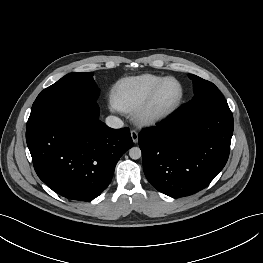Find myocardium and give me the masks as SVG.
I'll list each match as a JSON object with an SVG mask.
<instances>
[{
  "mask_svg": "<svg viewBox=\"0 0 263 263\" xmlns=\"http://www.w3.org/2000/svg\"><path fill=\"white\" fill-rule=\"evenodd\" d=\"M170 80H173L179 84L181 90L180 96L173 105L166 108H158L156 107V100L158 94L165 85V83ZM184 97L185 87L183 83L175 77H165L154 87V89L151 91L150 95L145 100V102L133 112V118L140 125H155L171 116L180 107L184 100Z\"/></svg>",
  "mask_w": 263,
  "mask_h": 263,
  "instance_id": "f54148a6",
  "label": "myocardium"
}]
</instances>
